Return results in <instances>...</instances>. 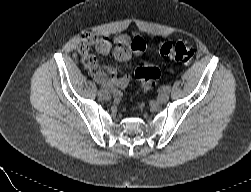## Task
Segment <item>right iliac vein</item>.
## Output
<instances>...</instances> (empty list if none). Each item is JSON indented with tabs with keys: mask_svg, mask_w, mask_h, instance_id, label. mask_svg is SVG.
Segmentation results:
<instances>
[{
	"mask_svg": "<svg viewBox=\"0 0 251 192\" xmlns=\"http://www.w3.org/2000/svg\"><path fill=\"white\" fill-rule=\"evenodd\" d=\"M104 100H110L111 96L108 92H104L103 95L101 96Z\"/></svg>",
	"mask_w": 251,
	"mask_h": 192,
	"instance_id": "obj_1",
	"label": "right iliac vein"
}]
</instances>
